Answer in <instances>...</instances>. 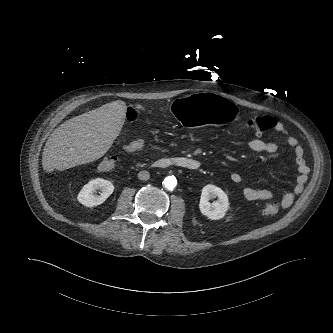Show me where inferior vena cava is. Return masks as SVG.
I'll return each instance as SVG.
<instances>
[{"mask_svg": "<svg viewBox=\"0 0 333 333\" xmlns=\"http://www.w3.org/2000/svg\"><path fill=\"white\" fill-rule=\"evenodd\" d=\"M138 178H139L140 180H144V181H146V180H148V179L150 178V174H149L148 171L143 170V171H140V172L138 173Z\"/></svg>", "mask_w": 333, "mask_h": 333, "instance_id": "obj_1", "label": "inferior vena cava"}]
</instances>
